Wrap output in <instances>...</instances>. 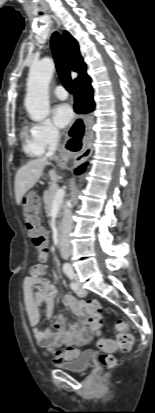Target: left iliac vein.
<instances>
[{
	"mask_svg": "<svg viewBox=\"0 0 155 413\" xmlns=\"http://www.w3.org/2000/svg\"><path fill=\"white\" fill-rule=\"evenodd\" d=\"M76 294L79 297H85L87 295V291L81 286L79 282H77Z\"/></svg>",
	"mask_w": 155,
	"mask_h": 413,
	"instance_id": "obj_1",
	"label": "left iliac vein"
}]
</instances>
